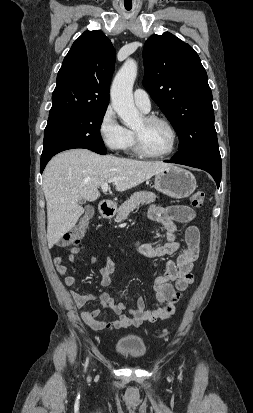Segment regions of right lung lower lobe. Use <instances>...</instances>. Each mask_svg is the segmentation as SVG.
Returning a JSON list of instances; mask_svg holds the SVG:
<instances>
[{
	"label": "right lung lower lobe",
	"instance_id": "obj_1",
	"mask_svg": "<svg viewBox=\"0 0 253 413\" xmlns=\"http://www.w3.org/2000/svg\"><path fill=\"white\" fill-rule=\"evenodd\" d=\"M74 148L89 149V150H92L93 152H96V153L101 154V155H105L106 152H107V150H106V148H105L104 146H89V147H86V146H76V145H75V146H65V147H61V148L56 149V150L53 151V152H50V153H48V154H46V155H42V156H41V168H40L41 172L44 170V168H45L46 164L48 163V161H49L55 154H57V153H59V152H61V151H64V150L74 149Z\"/></svg>",
	"mask_w": 253,
	"mask_h": 413
}]
</instances>
